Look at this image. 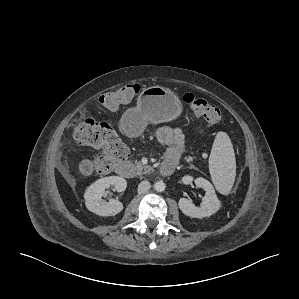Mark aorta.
I'll list each match as a JSON object with an SVG mask.
<instances>
[{
	"label": "aorta",
	"instance_id": "1",
	"mask_svg": "<svg viewBox=\"0 0 299 299\" xmlns=\"http://www.w3.org/2000/svg\"><path fill=\"white\" fill-rule=\"evenodd\" d=\"M166 188V185L163 181H158L154 184V189L158 192H163Z\"/></svg>",
	"mask_w": 299,
	"mask_h": 299
}]
</instances>
